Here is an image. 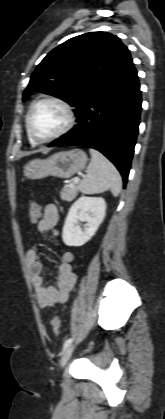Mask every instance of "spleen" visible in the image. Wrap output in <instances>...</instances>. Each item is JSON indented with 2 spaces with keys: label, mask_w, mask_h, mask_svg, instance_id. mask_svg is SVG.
<instances>
[{
  "label": "spleen",
  "mask_w": 165,
  "mask_h": 419,
  "mask_svg": "<svg viewBox=\"0 0 165 419\" xmlns=\"http://www.w3.org/2000/svg\"><path fill=\"white\" fill-rule=\"evenodd\" d=\"M92 156L87 174L81 181L79 189L84 194H99L110 190L117 197L122 189V179L116 167L103 154L90 149Z\"/></svg>",
  "instance_id": "obj_1"
}]
</instances>
